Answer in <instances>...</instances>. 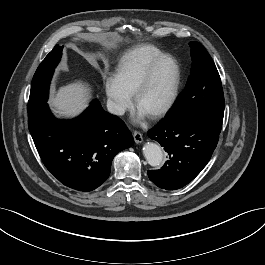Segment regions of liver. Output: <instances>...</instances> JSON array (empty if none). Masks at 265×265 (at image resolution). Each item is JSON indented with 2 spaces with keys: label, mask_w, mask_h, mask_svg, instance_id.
I'll use <instances>...</instances> for the list:
<instances>
[{
  "label": "liver",
  "mask_w": 265,
  "mask_h": 265,
  "mask_svg": "<svg viewBox=\"0 0 265 265\" xmlns=\"http://www.w3.org/2000/svg\"><path fill=\"white\" fill-rule=\"evenodd\" d=\"M92 91L88 83L77 80L60 87L49 103L59 116L72 118L88 106Z\"/></svg>",
  "instance_id": "obj_1"
}]
</instances>
